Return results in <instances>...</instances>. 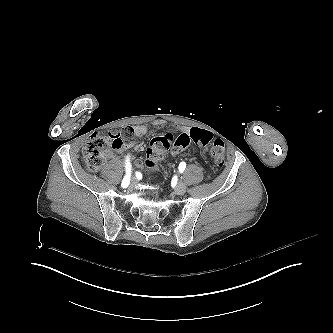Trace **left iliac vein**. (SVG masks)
I'll return each mask as SVG.
<instances>
[{
  "instance_id": "1",
  "label": "left iliac vein",
  "mask_w": 333,
  "mask_h": 333,
  "mask_svg": "<svg viewBox=\"0 0 333 333\" xmlns=\"http://www.w3.org/2000/svg\"><path fill=\"white\" fill-rule=\"evenodd\" d=\"M185 191H186V186L182 182H179L174 188V193L177 195H182L185 193Z\"/></svg>"
}]
</instances>
